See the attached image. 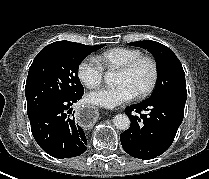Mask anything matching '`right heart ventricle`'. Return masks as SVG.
<instances>
[{
    "instance_id": "obj_1",
    "label": "right heart ventricle",
    "mask_w": 209,
    "mask_h": 179,
    "mask_svg": "<svg viewBox=\"0 0 209 179\" xmlns=\"http://www.w3.org/2000/svg\"><path fill=\"white\" fill-rule=\"evenodd\" d=\"M143 55L139 49L116 47L108 49L96 56V61L104 70H118L131 60Z\"/></svg>"
}]
</instances>
